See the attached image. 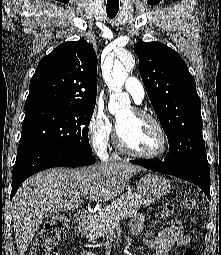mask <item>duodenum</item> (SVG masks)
<instances>
[{
	"label": "duodenum",
	"instance_id": "1",
	"mask_svg": "<svg viewBox=\"0 0 221 255\" xmlns=\"http://www.w3.org/2000/svg\"><path fill=\"white\" fill-rule=\"evenodd\" d=\"M75 221L82 226L88 225L90 222V215L87 211L81 210L75 214Z\"/></svg>",
	"mask_w": 221,
	"mask_h": 255
}]
</instances>
